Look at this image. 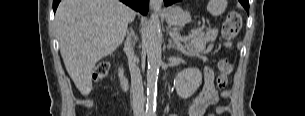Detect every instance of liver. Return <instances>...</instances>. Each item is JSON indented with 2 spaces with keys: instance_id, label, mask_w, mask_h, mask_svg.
Segmentation results:
<instances>
[{
  "instance_id": "6515ba94",
  "label": "liver",
  "mask_w": 305,
  "mask_h": 116,
  "mask_svg": "<svg viewBox=\"0 0 305 116\" xmlns=\"http://www.w3.org/2000/svg\"><path fill=\"white\" fill-rule=\"evenodd\" d=\"M135 11L119 0H62L55 14L60 53L82 95L92 90L95 64L123 42Z\"/></svg>"
}]
</instances>
